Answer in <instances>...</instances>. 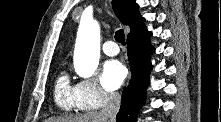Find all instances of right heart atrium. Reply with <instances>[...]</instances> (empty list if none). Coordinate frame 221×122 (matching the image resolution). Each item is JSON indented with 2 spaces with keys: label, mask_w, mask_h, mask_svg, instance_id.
Here are the masks:
<instances>
[{
  "label": "right heart atrium",
  "mask_w": 221,
  "mask_h": 122,
  "mask_svg": "<svg viewBox=\"0 0 221 122\" xmlns=\"http://www.w3.org/2000/svg\"><path fill=\"white\" fill-rule=\"evenodd\" d=\"M79 109L94 110L106 106L117 99V94L104 89L96 78L80 81L75 88Z\"/></svg>",
  "instance_id": "obj_1"
}]
</instances>
